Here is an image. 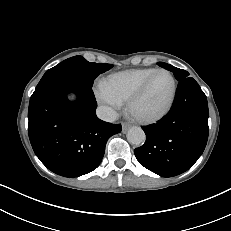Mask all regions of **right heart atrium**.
I'll return each mask as SVG.
<instances>
[{"instance_id":"right-heart-atrium-1","label":"right heart atrium","mask_w":231,"mask_h":231,"mask_svg":"<svg viewBox=\"0 0 231 231\" xmlns=\"http://www.w3.org/2000/svg\"><path fill=\"white\" fill-rule=\"evenodd\" d=\"M98 101L105 105L109 110H115L120 106V102L109 95L104 94L101 90L97 92Z\"/></svg>"}]
</instances>
